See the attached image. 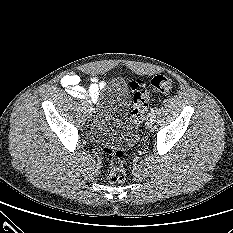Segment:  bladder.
Returning <instances> with one entry per match:
<instances>
[{"instance_id":"1","label":"bladder","mask_w":233,"mask_h":233,"mask_svg":"<svg viewBox=\"0 0 233 233\" xmlns=\"http://www.w3.org/2000/svg\"><path fill=\"white\" fill-rule=\"evenodd\" d=\"M131 93L118 78L106 89L94 126L96 140L106 146L128 145L135 139L134 125L127 119Z\"/></svg>"}]
</instances>
